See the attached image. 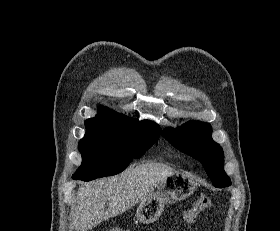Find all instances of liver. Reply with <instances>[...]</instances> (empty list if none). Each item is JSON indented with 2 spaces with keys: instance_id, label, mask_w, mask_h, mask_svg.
Returning <instances> with one entry per match:
<instances>
[{
  "instance_id": "1",
  "label": "liver",
  "mask_w": 280,
  "mask_h": 231,
  "mask_svg": "<svg viewBox=\"0 0 280 231\" xmlns=\"http://www.w3.org/2000/svg\"><path fill=\"white\" fill-rule=\"evenodd\" d=\"M165 163L130 165L113 177H102L80 185L72 207V225L76 231L92 229L103 219L123 213L138 201L146 199L158 183L173 175ZM109 199V207L105 203Z\"/></svg>"
}]
</instances>
